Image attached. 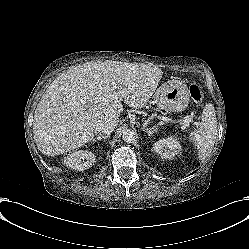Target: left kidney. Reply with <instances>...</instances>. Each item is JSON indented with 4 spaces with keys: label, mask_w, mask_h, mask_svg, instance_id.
<instances>
[{
    "label": "left kidney",
    "mask_w": 249,
    "mask_h": 249,
    "mask_svg": "<svg viewBox=\"0 0 249 249\" xmlns=\"http://www.w3.org/2000/svg\"><path fill=\"white\" fill-rule=\"evenodd\" d=\"M152 149L162 159L170 160L181 151V143L176 136L170 135L167 138L156 141Z\"/></svg>",
    "instance_id": "left-kidney-1"
}]
</instances>
